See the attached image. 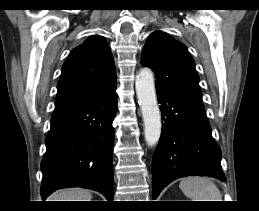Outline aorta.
I'll list each match as a JSON object with an SVG mask.
<instances>
[{"instance_id": "obj_1", "label": "aorta", "mask_w": 259, "mask_h": 211, "mask_svg": "<svg viewBox=\"0 0 259 211\" xmlns=\"http://www.w3.org/2000/svg\"><path fill=\"white\" fill-rule=\"evenodd\" d=\"M135 88L141 108L145 141L148 146H155L161 136V113L157 103L153 72L143 68L136 76Z\"/></svg>"}]
</instances>
